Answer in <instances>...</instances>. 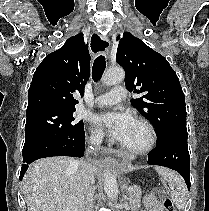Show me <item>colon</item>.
<instances>
[{"label": "colon", "instance_id": "obj_1", "mask_svg": "<svg viewBox=\"0 0 209 211\" xmlns=\"http://www.w3.org/2000/svg\"><path fill=\"white\" fill-rule=\"evenodd\" d=\"M164 211H176V208L171 199L165 198L163 201Z\"/></svg>", "mask_w": 209, "mask_h": 211}]
</instances>
